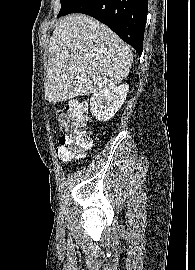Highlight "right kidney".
Returning <instances> with one entry per match:
<instances>
[{
  "label": "right kidney",
  "mask_w": 195,
  "mask_h": 270,
  "mask_svg": "<svg viewBox=\"0 0 195 270\" xmlns=\"http://www.w3.org/2000/svg\"><path fill=\"white\" fill-rule=\"evenodd\" d=\"M129 86L121 84L94 93L90 99L92 115L99 121L110 120L123 105Z\"/></svg>",
  "instance_id": "right-kidney-1"
}]
</instances>
